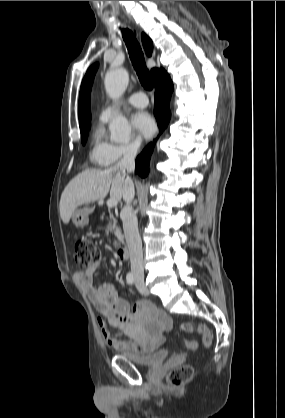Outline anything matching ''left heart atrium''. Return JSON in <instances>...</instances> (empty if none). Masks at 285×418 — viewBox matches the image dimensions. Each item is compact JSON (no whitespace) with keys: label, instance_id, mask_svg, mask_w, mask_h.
Wrapping results in <instances>:
<instances>
[{"label":"left heart atrium","instance_id":"left-heart-atrium-1","mask_svg":"<svg viewBox=\"0 0 285 418\" xmlns=\"http://www.w3.org/2000/svg\"><path fill=\"white\" fill-rule=\"evenodd\" d=\"M132 123L134 128L143 138H150L156 131V123L148 112H136L133 115Z\"/></svg>","mask_w":285,"mask_h":418}]
</instances>
